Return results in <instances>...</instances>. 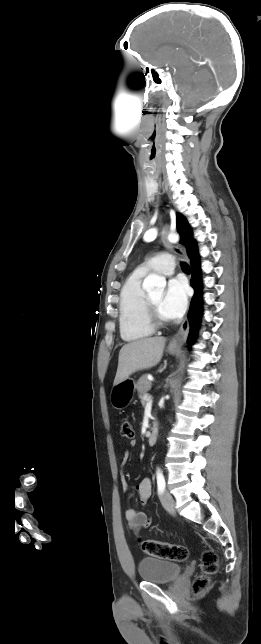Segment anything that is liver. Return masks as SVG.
<instances>
[{
  "instance_id": "6515ba94",
  "label": "liver",
  "mask_w": 261,
  "mask_h": 644,
  "mask_svg": "<svg viewBox=\"0 0 261 644\" xmlns=\"http://www.w3.org/2000/svg\"><path fill=\"white\" fill-rule=\"evenodd\" d=\"M166 339L153 337L125 344L120 352L113 385L124 381L137 371L156 366L163 355Z\"/></svg>"
}]
</instances>
